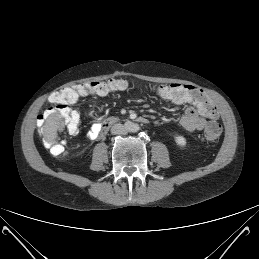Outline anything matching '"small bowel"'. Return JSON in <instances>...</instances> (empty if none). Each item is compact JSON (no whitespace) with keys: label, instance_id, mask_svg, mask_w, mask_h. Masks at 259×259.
Wrapping results in <instances>:
<instances>
[{"label":"small bowel","instance_id":"c3829d8e","mask_svg":"<svg viewBox=\"0 0 259 259\" xmlns=\"http://www.w3.org/2000/svg\"><path fill=\"white\" fill-rule=\"evenodd\" d=\"M186 103L192 105L186 108L185 113L180 119V124L189 132L202 130L209 122H215L218 117L216 108L209 103V100L205 94L199 101L189 100L184 103L170 102V104L175 105H182ZM100 129V122L93 123L87 132V137L89 139L98 138L100 136Z\"/></svg>","mask_w":259,"mask_h":259}]
</instances>
